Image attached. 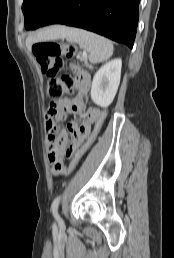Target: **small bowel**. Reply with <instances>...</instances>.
<instances>
[{
    "mask_svg": "<svg viewBox=\"0 0 174 258\" xmlns=\"http://www.w3.org/2000/svg\"><path fill=\"white\" fill-rule=\"evenodd\" d=\"M71 67L79 80L78 96L74 100L62 99L53 102L46 112L47 145L53 178H62V175H68V170H65V163L69 161L68 157L83 143L84 138L91 132L90 127H93V123L97 121L96 118H84L82 124L75 121L70 122L68 131L72 135V142L69 146L67 132L60 131L58 133L57 124L64 121L68 113L81 112L83 95L90 83V75L87 72L75 65ZM97 113H99L98 104H88L86 112H83V117H97Z\"/></svg>",
    "mask_w": 174,
    "mask_h": 258,
    "instance_id": "small-bowel-1",
    "label": "small bowel"
}]
</instances>
